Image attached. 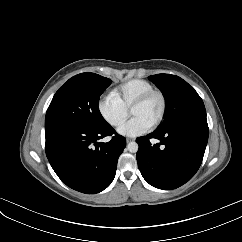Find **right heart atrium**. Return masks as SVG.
<instances>
[{"mask_svg": "<svg viewBox=\"0 0 242 242\" xmlns=\"http://www.w3.org/2000/svg\"><path fill=\"white\" fill-rule=\"evenodd\" d=\"M97 108L101 117L113 127L121 125L129 115V111L113 95L101 97Z\"/></svg>", "mask_w": 242, "mask_h": 242, "instance_id": "right-heart-atrium-1", "label": "right heart atrium"}]
</instances>
